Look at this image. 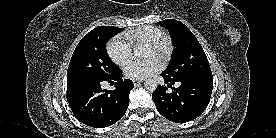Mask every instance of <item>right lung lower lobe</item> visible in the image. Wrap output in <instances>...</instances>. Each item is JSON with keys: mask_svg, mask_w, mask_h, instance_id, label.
I'll return each mask as SVG.
<instances>
[{"mask_svg": "<svg viewBox=\"0 0 276 138\" xmlns=\"http://www.w3.org/2000/svg\"><path fill=\"white\" fill-rule=\"evenodd\" d=\"M107 81L115 85L114 90H102L101 83ZM133 82L122 79V71L103 80L83 82L67 86V101L75 117L83 124L104 128L121 119L129 105V93Z\"/></svg>", "mask_w": 276, "mask_h": 138, "instance_id": "1", "label": "right lung lower lobe"}]
</instances>
